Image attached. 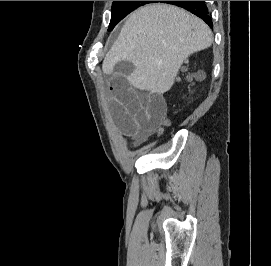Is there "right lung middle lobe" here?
Masks as SVG:
<instances>
[{"label":"right lung middle lobe","mask_w":271,"mask_h":266,"mask_svg":"<svg viewBox=\"0 0 271 266\" xmlns=\"http://www.w3.org/2000/svg\"><path fill=\"white\" fill-rule=\"evenodd\" d=\"M154 2L156 1H114L112 5V16L108 31H112L115 25L130 12L134 11L142 5Z\"/></svg>","instance_id":"dd1d6c3e"}]
</instances>
